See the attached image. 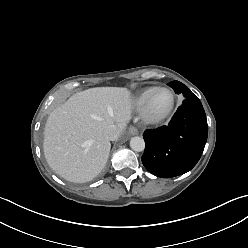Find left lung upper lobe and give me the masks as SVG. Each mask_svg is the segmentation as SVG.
Segmentation results:
<instances>
[{"instance_id":"5c2ea615","label":"left lung upper lobe","mask_w":248,"mask_h":248,"mask_svg":"<svg viewBox=\"0 0 248 248\" xmlns=\"http://www.w3.org/2000/svg\"><path fill=\"white\" fill-rule=\"evenodd\" d=\"M168 85L174 89L175 93L177 94L182 93L185 98L194 96V94L184 84H182L179 81L170 82Z\"/></svg>"}]
</instances>
